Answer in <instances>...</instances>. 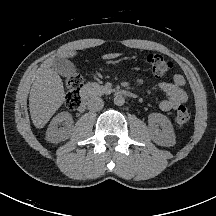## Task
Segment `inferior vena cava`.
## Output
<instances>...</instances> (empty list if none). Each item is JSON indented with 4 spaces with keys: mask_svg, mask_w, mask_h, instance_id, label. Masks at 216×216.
I'll list each match as a JSON object with an SVG mask.
<instances>
[{
    "mask_svg": "<svg viewBox=\"0 0 216 216\" xmlns=\"http://www.w3.org/2000/svg\"><path fill=\"white\" fill-rule=\"evenodd\" d=\"M104 106V102L100 97H92L88 100V109L91 111H100Z\"/></svg>",
    "mask_w": 216,
    "mask_h": 216,
    "instance_id": "obj_1",
    "label": "inferior vena cava"
}]
</instances>
